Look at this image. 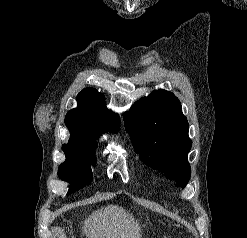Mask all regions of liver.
<instances>
[{"label": "liver", "instance_id": "obj_1", "mask_svg": "<svg viewBox=\"0 0 247 238\" xmlns=\"http://www.w3.org/2000/svg\"><path fill=\"white\" fill-rule=\"evenodd\" d=\"M87 238H140V227L124 209L109 205L97 210L85 221Z\"/></svg>", "mask_w": 247, "mask_h": 238}]
</instances>
